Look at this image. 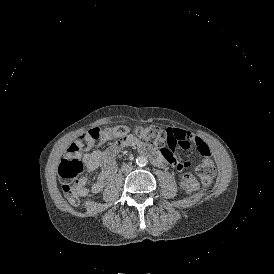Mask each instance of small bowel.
I'll list each match as a JSON object with an SVG mask.
<instances>
[{"label":"small bowel","mask_w":274,"mask_h":274,"mask_svg":"<svg viewBox=\"0 0 274 274\" xmlns=\"http://www.w3.org/2000/svg\"><path fill=\"white\" fill-rule=\"evenodd\" d=\"M169 138L167 147L164 150V154L168 160L159 149L146 145L132 135L127 136L125 140L117 144L116 147H110L105 150L87 151L83 156L86 170L88 172L100 170V173L90 187L87 186L88 179L86 176H82L79 179L77 184L79 195L99 194L116 173V154L122 147L128 146L136 148L143 155H148V158L151 159L155 166L160 168L169 166L177 171H181L184 167L189 166L188 164L186 165L179 162L178 156L175 153L177 147L180 149H188L190 146L198 148L200 157L206 161V165L200 164L196 168V173L201 176L208 185H213L216 182V177L209 169H214L217 166V161L214 158H210L211 152L207 142L194 134L176 127L170 129Z\"/></svg>","instance_id":"small-bowel-1"}]
</instances>
